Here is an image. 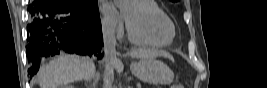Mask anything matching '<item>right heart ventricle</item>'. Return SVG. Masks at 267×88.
<instances>
[{"label": "right heart ventricle", "mask_w": 267, "mask_h": 88, "mask_svg": "<svg viewBox=\"0 0 267 88\" xmlns=\"http://www.w3.org/2000/svg\"><path fill=\"white\" fill-rule=\"evenodd\" d=\"M138 1L139 3H142L144 4L145 6H147L148 8H150L151 10H156V11H159L161 12L165 18H168L170 19L165 12L162 11V9L158 6V4L153 1V0H136ZM130 39L134 42V43H137V44H145V45H153V46H163V45H160V44H155V43H150V42H146V41H143V40H140V39H137V38H134V37H131L130 36Z\"/></svg>", "instance_id": "1"}]
</instances>
